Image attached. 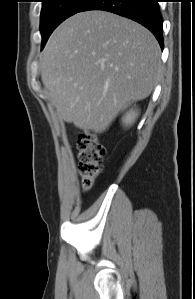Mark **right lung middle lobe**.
<instances>
[{"instance_id": "right-lung-middle-lobe-1", "label": "right lung middle lobe", "mask_w": 195, "mask_h": 299, "mask_svg": "<svg viewBox=\"0 0 195 299\" xmlns=\"http://www.w3.org/2000/svg\"><path fill=\"white\" fill-rule=\"evenodd\" d=\"M88 0H42L40 31L42 48L52 31L66 18L80 11Z\"/></svg>"}]
</instances>
